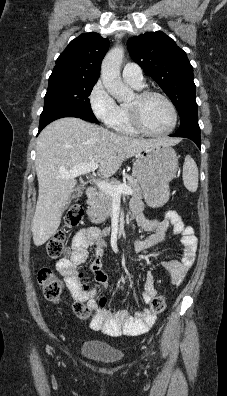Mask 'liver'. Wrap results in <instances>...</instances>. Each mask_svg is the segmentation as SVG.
<instances>
[{
  "mask_svg": "<svg viewBox=\"0 0 227 396\" xmlns=\"http://www.w3.org/2000/svg\"><path fill=\"white\" fill-rule=\"evenodd\" d=\"M172 139H137L120 136L82 119L66 117L49 124L37 138L36 173L39 195L32 222L33 241L43 245L61 222L62 209L77 183L75 178H61L83 163H98L103 177L112 176L123 162L157 145H175Z\"/></svg>",
  "mask_w": 227,
  "mask_h": 396,
  "instance_id": "obj_1",
  "label": "liver"
}]
</instances>
